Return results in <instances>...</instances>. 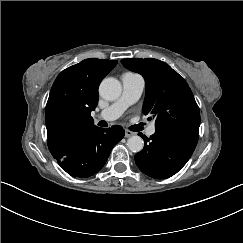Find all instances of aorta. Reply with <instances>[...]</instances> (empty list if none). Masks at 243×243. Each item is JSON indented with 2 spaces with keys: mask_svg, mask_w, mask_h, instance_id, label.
<instances>
[{
  "mask_svg": "<svg viewBox=\"0 0 243 243\" xmlns=\"http://www.w3.org/2000/svg\"><path fill=\"white\" fill-rule=\"evenodd\" d=\"M122 92L120 82L115 78L104 79L99 87V95L109 101H114L119 98ZM144 141L138 135L130 136L127 140V147L132 152H139L143 149Z\"/></svg>",
  "mask_w": 243,
  "mask_h": 243,
  "instance_id": "1",
  "label": "aorta"
}]
</instances>
